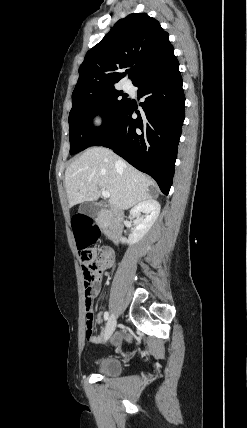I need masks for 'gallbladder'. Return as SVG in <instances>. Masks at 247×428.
Returning a JSON list of instances; mask_svg holds the SVG:
<instances>
[{"label": "gallbladder", "mask_w": 247, "mask_h": 428, "mask_svg": "<svg viewBox=\"0 0 247 428\" xmlns=\"http://www.w3.org/2000/svg\"><path fill=\"white\" fill-rule=\"evenodd\" d=\"M101 208L102 206L97 205L94 202H84L79 206V213L89 217H96L99 214Z\"/></svg>", "instance_id": "1"}]
</instances>
